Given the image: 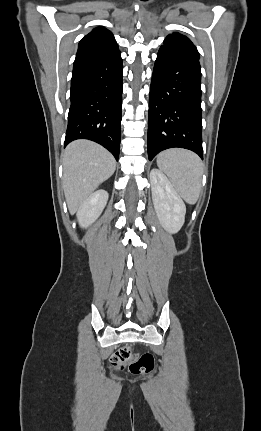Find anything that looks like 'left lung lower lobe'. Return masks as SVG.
<instances>
[{
	"label": "left lung lower lobe",
	"mask_w": 261,
	"mask_h": 431,
	"mask_svg": "<svg viewBox=\"0 0 261 431\" xmlns=\"http://www.w3.org/2000/svg\"><path fill=\"white\" fill-rule=\"evenodd\" d=\"M173 147L189 149L203 159L201 68L199 58L161 46L149 96V160Z\"/></svg>",
	"instance_id": "1"
}]
</instances>
